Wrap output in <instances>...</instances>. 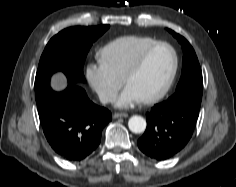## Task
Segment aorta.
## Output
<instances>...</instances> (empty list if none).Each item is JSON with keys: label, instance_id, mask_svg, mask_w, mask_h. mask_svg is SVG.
Returning <instances> with one entry per match:
<instances>
[{"label": "aorta", "instance_id": "1", "mask_svg": "<svg viewBox=\"0 0 236 187\" xmlns=\"http://www.w3.org/2000/svg\"><path fill=\"white\" fill-rule=\"evenodd\" d=\"M128 127L133 133H142L146 129V120L141 116H132L128 121Z\"/></svg>", "mask_w": 236, "mask_h": 187}]
</instances>
